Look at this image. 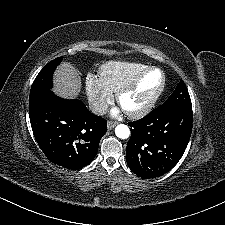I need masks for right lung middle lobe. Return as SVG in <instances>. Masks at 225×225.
<instances>
[{
    "label": "right lung middle lobe",
    "instance_id": "obj_1",
    "mask_svg": "<svg viewBox=\"0 0 225 225\" xmlns=\"http://www.w3.org/2000/svg\"><path fill=\"white\" fill-rule=\"evenodd\" d=\"M63 57H58L47 63L35 78L31 90L30 98L50 91L52 87V75L56 66H58Z\"/></svg>",
    "mask_w": 225,
    "mask_h": 225
}]
</instances>
